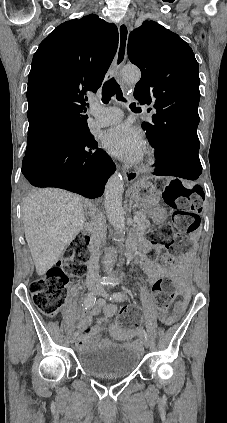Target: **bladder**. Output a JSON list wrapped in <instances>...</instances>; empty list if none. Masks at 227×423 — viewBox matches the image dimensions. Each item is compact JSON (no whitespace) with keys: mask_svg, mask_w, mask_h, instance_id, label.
Segmentation results:
<instances>
[{"mask_svg":"<svg viewBox=\"0 0 227 423\" xmlns=\"http://www.w3.org/2000/svg\"><path fill=\"white\" fill-rule=\"evenodd\" d=\"M142 354L127 344L111 343L81 352L76 363L87 375L97 379H125L137 371Z\"/></svg>","mask_w":227,"mask_h":423,"instance_id":"1","label":"bladder"}]
</instances>
